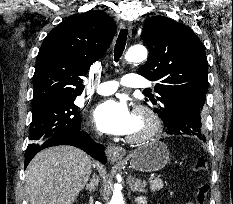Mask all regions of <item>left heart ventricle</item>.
Returning <instances> with one entry per match:
<instances>
[{"instance_id":"1","label":"left heart ventricle","mask_w":233,"mask_h":204,"mask_svg":"<svg viewBox=\"0 0 233 204\" xmlns=\"http://www.w3.org/2000/svg\"><path fill=\"white\" fill-rule=\"evenodd\" d=\"M145 127L146 123L144 122V120L134 115L133 125L129 132V135L140 133L145 129Z\"/></svg>"}]
</instances>
